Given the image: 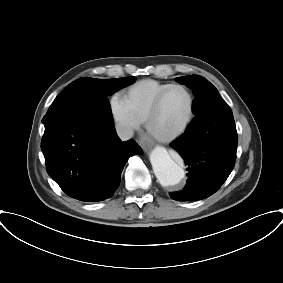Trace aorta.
I'll use <instances>...</instances> for the list:
<instances>
[{
	"label": "aorta",
	"instance_id": "aorta-1",
	"mask_svg": "<svg viewBox=\"0 0 283 283\" xmlns=\"http://www.w3.org/2000/svg\"><path fill=\"white\" fill-rule=\"evenodd\" d=\"M150 162L154 174L162 186H174L180 183L185 176L183 168L171 158L163 147H156L151 152Z\"/></svg>",
	"mask_w": 283,
	"mask_h": 283
}]
</instances>
